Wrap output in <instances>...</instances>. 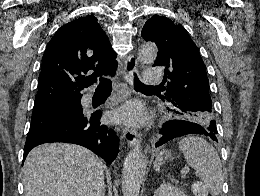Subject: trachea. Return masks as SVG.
<instances>
[{"instance_id":"3493384b","label":"trachea","mask_w":260,"mask_h":196,"mask_svg":"<svg viewBox=\"0 0 260 196\" xmlns=\"http://www.w3.org/2000/svg\"><path fill=\"white\" fill-rule=\"evenodd\" d=\"M133 84L135 89L162 88L164 85H145L137 76H134ZM99 86L111 87L112 81L109 78H100Z\"/></svg>"}]
</instances>
